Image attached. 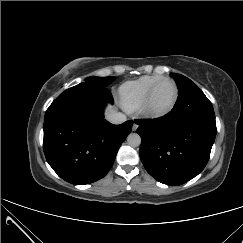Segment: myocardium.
<instances>
[{
	"mask_svg": "<svg viewBox=\"0 0 243 243\" xmlns=\"http://www.w3.org/2000/svg\"><path fill=\"white\" fill-rule=\"evenodd\" d=\"M165 82H171L175 87V95H174L173 101L167 108H165L163 110H154L151 106L152 98L154 96V93L158 89V87ZM178 99H179V88H178L177 83L173 79L163 78L160 81H158L157 83H155L153 85V87L150 89L142 106L140 107V111L145 117H147L149 119H161L172 112V110L174 109V107L177 104Z\"/></svg>",
	"mask_w": 243,
	"mask_h": 243,
	"instance_id": "1",
	"label": "myocardium"
}]
</instances>
